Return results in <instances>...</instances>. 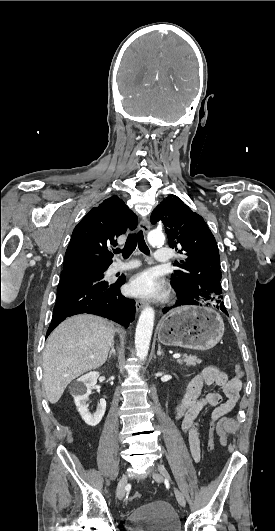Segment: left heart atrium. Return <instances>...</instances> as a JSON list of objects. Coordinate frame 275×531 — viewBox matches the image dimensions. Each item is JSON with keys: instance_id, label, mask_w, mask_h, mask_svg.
<instances>
[{"instance_id": "1", "label": "left heart atrium", "mask_w": 275, "mask_h": 531, "mask_svg": "<svg viewBox=\"0 0 275 531\" xmlns=\"http://www.w3.org/2000/svg\"><path fill=\"white\" fill-rule=\"evenodd\" d=\"M160 278L152 270L137 273L130 281V291L137 296H150L157 293Z\"/></svg>"}]
</instances>
